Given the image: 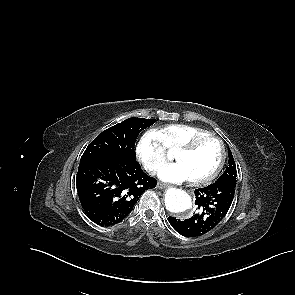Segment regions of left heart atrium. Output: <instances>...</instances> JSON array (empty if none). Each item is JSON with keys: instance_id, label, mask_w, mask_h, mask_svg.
<instances>
[{"instance_id": "obj_1", "label": "left heart atrium", "mask_w": 295, "mask_h": 295, "mask_svg": "<svg viewBox=\"0 0 295 295\" xmlns=\"http://www.w3.org/2000/svg\"><path fill=\"white\" fill-rule=\"evenodd\" d=\"M159 177L171 183H182L193 180V176L188 167L180 161L165 166L159 172Z\"/></svg>"}]
</instances>
